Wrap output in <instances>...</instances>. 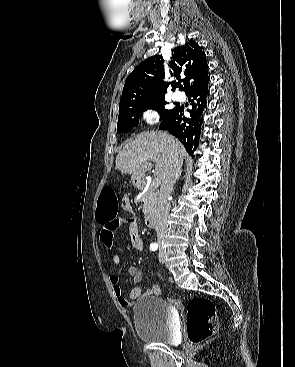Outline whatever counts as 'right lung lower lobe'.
Returning a JSON list of instances; mask_svg holds the SVG:
<instances>
[{"instance_id": "right-lung-lower-lobe-1", "label": "right lung lower lobe", "mask_w": 295, "mask_h": 367, "mask_svg": "<svg viewBox=\"0 0 295 367\" xmlns=\"http://www.w3.org/2000/svg\"><path fill=\"white\" fill-rule=\"evenodd\" d=\"M207 87L208 81L186 93L188 98H193L191 102L192 109L188 110L190 117L184 116V106H177L171 114L163 119L159 127L176 136L189 154H192L199 145L201 124L203 122L202 113L206 105V97L209 94Z\"/></svg>"}]
</instances>
